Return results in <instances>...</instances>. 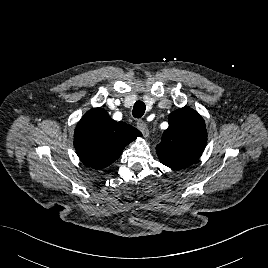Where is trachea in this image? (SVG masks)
Segmentation results:
<instances>
[{"instance_id": "3493384b", "label": "trachea", "mask_w": 268, "mask_h": 268, "mask_svg": "<svg viewBox=\"0 0 268 268\" xmlns=\"http://www.w3.org/2000/svg\"><path fill=\"white\" fill-rule=\"evenodd\" d=\"M146 110V105L142 101H137L133 106L132 114L135 118H141Z\"/></svg>"}]
</instances>
